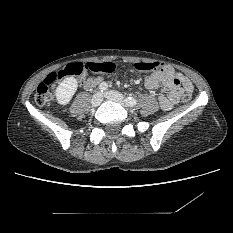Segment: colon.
I'll use <instances>...</instances> for the list:
<instances>
[{
  "label": "colon",
  "instance_id": "obj_1",
  "mask_svg": "<svg viewBox=\"0 0 233 233\" xmlns=\"http://www.w3.org/2000/svg\"><path fill=\"white\" fill-rule=\"evenodd\" d=\"M163 67L161 62H146L140 61L135 63L134 68L140 72H151L159 70ZM85 69L97 72L100 74H111L115 70V66L111 63H89L84 65L82 63H70L59 71L51 72L46 78L37 86L34 100L38 105H45L51 101L50 88L63 79L65 76L82 77ZM191 93L185 92L182 96V101L188 103L191 100Z\"/></svg>",
  "mask_w": 233,
  "mask_h": 233
}]
</instances>
